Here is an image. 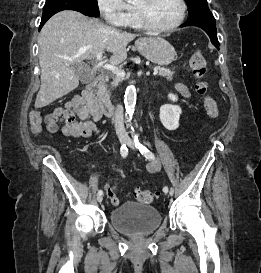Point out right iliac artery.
I'll use <instances>...</instances> for the list:
<instances>
[{"instance_id": "right-iliac-artery-1", "label": "right iliac artery", "mask_w": 261, "mask_h": 273, "mask_svg": "<svg viewBox=\"0 0 261 273\" xmlns=\"http://www.w3.org/2000/svg\"><path fill=\"white\" fill-rule=\"evenodd\" d=\"M120 153H121V156L123 158H125L127 155H128V148L126 147L125 144H123L120 148ZM103 194V191L102 190H99L98 191V195H102Z\"/></svg>"}]
</instances>
